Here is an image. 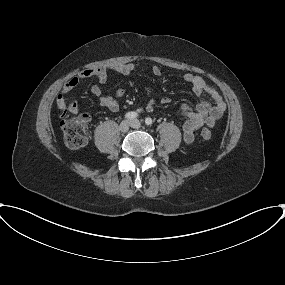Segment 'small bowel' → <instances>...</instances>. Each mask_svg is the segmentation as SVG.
Masks as SVG:
<instances>
[{
    "mask_svg": "<svg viewBox=\"0 0 285 285\" xmlns=\"http://www.w3.org/2000/svg\"><path fill=\"white\" fill-rule=\"evenodd\" d=\"M139 65L135 63L119 64L111 71L122 74H131ZM150 70L153 75L160 76L162 71L159 66L152 65ZM109 69L106 68H91L80 72L77 76L72 77L62 87L61 92L57 95L56 103L59 109L69 111L71 113H78L79 107L75 100H68L67 95L78 86L81 80L86 78H96L98 84L91 86V93L99 100V103L112 112L119 110L118 98L124 95V90L119 88L113 95H104L101 86L107 81ZM184 81L191 84L193 92L200 98V102L195 108L188 104H182L179 108V113L185 118L182 126V135L185 143L190 144L195 139V131L200 127L207 125L213 127L218 119H220L226 106L222 95L212 85L208 84L202 77L192 73H186L183 76ZM209 100H208V99ZM162 104L169 103L167 97L161 99ZM154 108V100H149L145 110L152 111ZM143 109H137L141 112ZM87 116V115H85ZM89 119V117L87 116Z\"/></svg>",
    "mask_w": 285,
    "mask_h": 285,
    "instance_id": "small-bowel-1",
    "label": "small bowel"
}]
</instances>
